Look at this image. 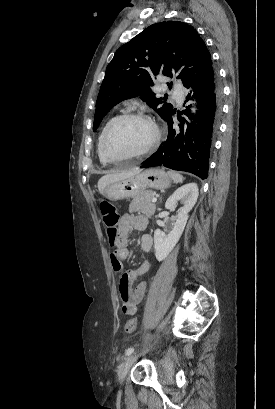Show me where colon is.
<instances>
[{"label": "colon", "instance_id": "1", "mask_svg": "<svg viewBox=\"0 0 275 409\" xmlns=\"http://www.w3.org/2000/svg\"><path fill=\"white\" fill-rule=\"evenodd\" d=\"M101 214L105 225L107 238L112 248L117 247L119 242V214L117 207L111 202L104 200L101 202ZM137 328V319L131 317L125 324V332L127 334L133 333Z\"/></svg>", "mask_w": 275, "mask_h": 409}]
</instances>
